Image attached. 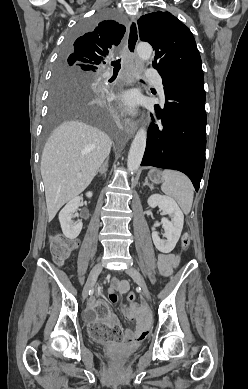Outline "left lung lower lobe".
<instances>
[{"instance_id": "obj_1", "label": "left lung lower lobe", "mask_w": 248, "mask_h": 389, "mask_svg": "<svg viewBox=\"0 0 248 389\" xmlns=\"http://www.w3.org/2000/svg\"><path fill=\"white\" fill-rule=\"evenodd\" d=\"M165 106L155 105L159 124L148 130L141 165L185 173L198 191L205 165L206 111L203 73L163 82Z\"/></svg>"}]
</instances>
